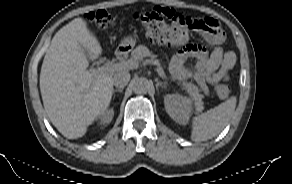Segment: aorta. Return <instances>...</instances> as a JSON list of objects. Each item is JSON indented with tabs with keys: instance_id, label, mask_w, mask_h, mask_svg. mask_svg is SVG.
Listing matches in <instances>:
<instances>
[{
	"instance_id": "aorta-1",
	"label": "aorta",
	"mask_w": 292,
	"mask_h": 184,
	"mask_svg": "<svg viewBox=\"0 0 292 184\" xmlns=\"http://www.w3.org/2000/svg\"><path fill=\"white\" fill-rule=\"evenodd\" d=\"M151 87V83L144 77L135 78L132 82V89L136 94H145Z\"/></svg>"
}]
</instances>
